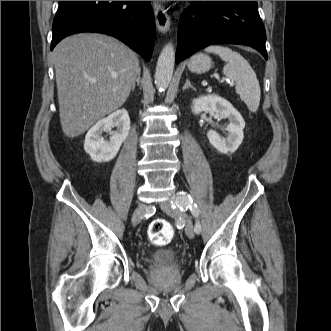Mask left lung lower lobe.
Listing matches in <instances>:
<instances>
[{
    "label": "left lung lower lobe",
    "instance_id": "left-lung-lower-lobe-1",
    "mask_svg": "<svg viewBox=\"0 0 331 331\" xmlns=\"http://www.w3.org/2000/svg\"><path fill=\"white\" fill-rule=\"evenodd\" d=\"M257 1H192L181 15L175 61L218 43L251 46L267 60Z\"/></svg>",
    "mask_w": 331,
    "mask_h": 331
}]
</instances>
